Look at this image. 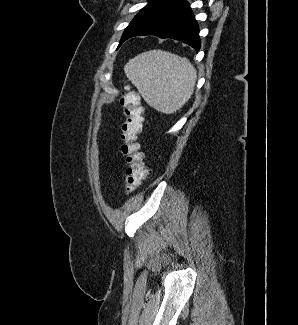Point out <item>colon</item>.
<instances>
[{
	"instance_id": "1",
	"label": "colon",
	"mask_w": 298,
	"mask_h": 325,
	"mask_svg": "<svg viewBox=\"0 0 298 325\" xmlns=\"http://www.w3.org/2000/svg\"><path fill=\"white\" fill-rule=\"evenodd\" d=\"M120 104L124 115L120 133L123 142L121 152L127 163L124 190L126 193H132L141 186L148 175L145 156L138 142L144 121L143 107L139 95L133 91L126 92L121 97Z\"/></svg>"
}]
</instances>
